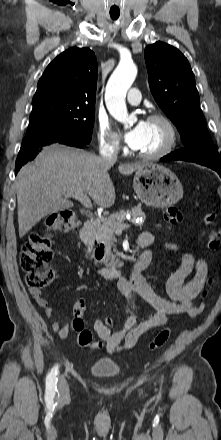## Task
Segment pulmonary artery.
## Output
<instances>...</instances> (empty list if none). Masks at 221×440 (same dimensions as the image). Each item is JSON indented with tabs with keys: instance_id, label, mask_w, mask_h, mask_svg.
Here are the masks:
<instances>
[{
	"instance_id": "e3ab8cb5",
	"label": "pulmonary artery",
	"mask_w": 221,
	"mask_h": 440,
	"mask_svg": "<svg viewBox=\"0 0 221 440\" xmlns=\"http://www.w3.org/2000/svg\"><path fill=\"white\" fill-rule=\"evenodd\" d=\"M127 100L129 103L136 105L141 101V93L137 88H131L127 95Z\"/></svg>"
}]
</instances>
